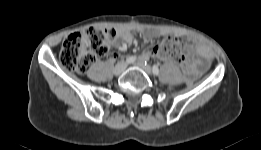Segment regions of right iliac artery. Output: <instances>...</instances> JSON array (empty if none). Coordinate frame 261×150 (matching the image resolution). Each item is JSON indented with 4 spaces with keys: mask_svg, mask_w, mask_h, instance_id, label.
<instances>
[{
    "mask_svg": "<svg viewBox=\"0 0 261 150\" xmlns=\"http://www.w3.org/2000/svg\"><path fill=\"white\" fill-rule=\"evenodd\" d=\"M135 60H136V56H130V57H127L126 62H127V63H132V62H134Z\"/></svg>",
    "mask_w": 261,
    "mask_h": 150,
    "instance_id": "obj_1",
    "label": "right iliac artery"
}]
</instances>
